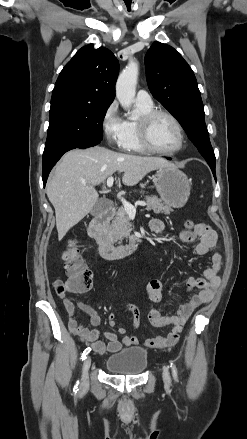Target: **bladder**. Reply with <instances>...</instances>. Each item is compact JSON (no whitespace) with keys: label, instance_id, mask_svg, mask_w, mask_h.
I'll return each mask as SVG.
<instances>
[{"label":"bladder","instance_id":"1","mask_svg":"<svg viewBox=\"0 0 247 439\" xmlns=\"http://www.w3.org/2000/svg\"><path fill=\"white\" fill-rule=\"evenodd\" d=\"M148 364L146 349L135 346L114 353L106 358L105 368L113 374L138 375L144 372Z\"/></svg>","mask_w":247,"mask_h":439}]
</instances>
